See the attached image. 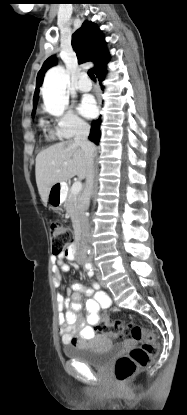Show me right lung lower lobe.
I'll return each instance as SVG.
<instances>
[{
	"mask_svg": "<svg viewBox=\"0 0 187 415\" xmlns=\"http://www.w3.org/2000/svg\"><path fill=\"white\" fill-rule=\"evenodd\" d=\"M106 64L107 62L100 68L99 71L95 73L100 83L104 80L105 75L107 73V71L105 70ZM101 87L103 88V85H101ZM100 123H101L100 118L92 123L91 131L89 135V139L93 141L95 144H98L100 140V134H101L100 129H99Z\"/></svg>",
	"mask_w": 187,
	"mask_h": 415,
	"instance_id": "1",
	"label": "right lung lower lobe"
}]
</instances>
